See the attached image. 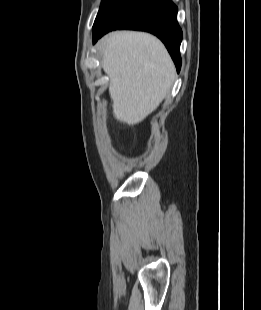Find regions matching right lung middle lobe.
I'll return each mask as SVG.
<instances>
[{"instance_id": "dd1d6c3e", "label": "right lung middle lobe", "mask_w": 261, "mask_h": 310, "mask_svg": "<svg viewBox=\"0 0 261 310\" xmlns=\"http://www.w3.org/2000/svg\"><path fill=\"white\" fill-rule=\"evenodd\" d=\"M129 0H102L93 29L100 27Z\"/></svg>"}]
</instances>
